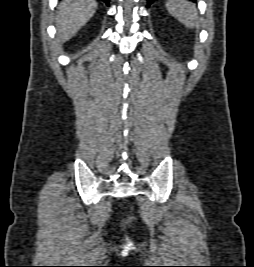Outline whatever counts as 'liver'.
<instances>
[{
	"label": "liver",
	"instance_id": "obj_1",
	"mask_svg": "<svg viewBox=\"0 0 254 267\" xmlns=\"http://www.w3.org/2000/svg\"><path fill=\"white\" fill-rule=\"evenodd\" d=\"M94 0H65L59 5L56 18L57 40L65 42L72 38L96 12Z\"/></svg>",
	"mask_w": 254,
	"mask_h": 267
}]
</instances>
